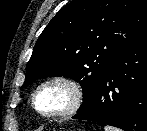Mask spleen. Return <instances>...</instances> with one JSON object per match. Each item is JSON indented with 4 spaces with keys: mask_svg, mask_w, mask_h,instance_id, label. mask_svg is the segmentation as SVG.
I'll return each instance as SVG.
<instances>
[{
    "mask_svg": "<svg viewBox=\"0 0 147 131\" xmlns=\"http://www.w3.org/2000/svg\"><path fill=\"white\" fill-rule=\"evenodd\" d=\"M104 130L105 131H120L117 128L112 127V126H108V125L104 127Z\"/></svg>",
    "mask_w": 147,
    "mask_h": 131,
    "instance_id": "1",
    "label": "spleen"
}]
</instances>
